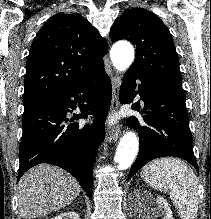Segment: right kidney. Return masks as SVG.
<instances>
[{"label":"right kidney","mask_w":211,"mask_h":219,"mask_svg":"<svg viewBox=\"0 0 211 219\" xmlns=\"http://www.w3.org/2000/svg\"><path fill=\"white\" fill-rule=\"evenodd\" d=\"M51 219H79L76 212H65Z\"/></svg>","instance_id":"1"}]
</instances>
